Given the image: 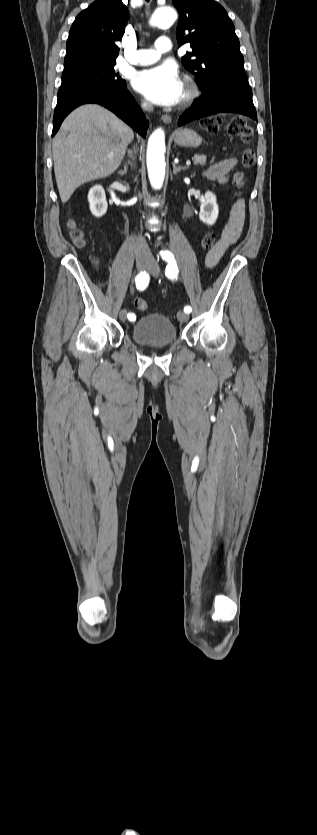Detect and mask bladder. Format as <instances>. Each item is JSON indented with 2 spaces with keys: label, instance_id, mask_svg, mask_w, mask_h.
I'll use <instances>...</instances> for the list:
<instances>
[{
  "label": "bladder",
  "instance_id": "bladder-1",
  "mask_svg": "<svg viewBox=\"0 0 317 835\" xmlns=\"http://www.w3.org/2000/svg\"><path fill=\"white\" fill-rule=\"evenodd\" d=\"M131 336L140 345L162 346L177 339V330L168 317L154 313L140 318L134 324Z\"/></svg>",
  "mask_w": 317,
  "mask_h": 835
}]
</instances>
